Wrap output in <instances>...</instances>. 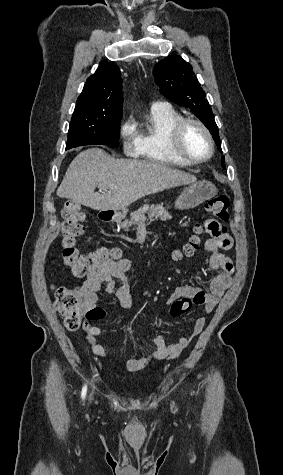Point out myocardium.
Returning <instances> with one entry per match:
<instances>
[{
    "instance_id": "myocardium-1",
    "label": "myocardium",
    "mask_w": 283,
    "mask_h": 475,
    "mask_svg": "<svg viewBox=\"0 0 283 475\" xmlns=\"http://www.w3.org/2000/svg\"><path fill=\"white\" fill-rule=\"evenodd\" d=\"M196 125L205 135L207 138V141L209 143V152L205 157L202 158H191V157H179V158H173L169 156L166 151H165V143L162 142L159 146L160 154L165 160V162H206L210 160L214 153H215V142L213 139L212 134L208 130V128L205 126V124L194 118H182L178 122H176L170 129L168 130V136L167 140L168 142L174 143V144H181L182 139H183V134L188 125Z\"/></svg>"
}]
</instances>
